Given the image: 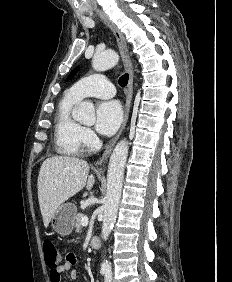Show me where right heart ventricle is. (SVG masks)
Listing matches in <instances>:
<instances>
[{
  "label": "right heart ventricle",
  "instance_id": "right-heart-ventricle-1",
  "mask_svg": "<svg viewBox=\"0 0 232 282\" xmlns=\"http://www.w3.org/2000/svg\"><path fill=\"white\" fill-rule=\"evenodd\" d=\"M78 102L66 93L58 103L54 119V147L58 154L75 156L82 150L83 127L72 117Z\"/></svg>",
  "mask_w": 232,
  "mask_h": 282
}]
</instances>
